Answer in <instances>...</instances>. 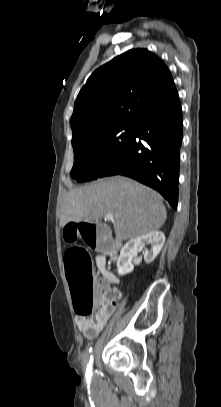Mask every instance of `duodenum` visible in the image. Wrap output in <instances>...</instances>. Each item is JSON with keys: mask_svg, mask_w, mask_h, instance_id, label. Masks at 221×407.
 Listing matches in <instances>:
<instances>
[{"mask_svg": "<svg viewBox=\"0 0 221 407\" xmlns=\"http://www.w3.org/2000/svg\"><path fill=\"white\" fill-rule=\"evenodd\" d=\"M118 245H120V242H118ZM112 259H113V260L116 259V255H115V254L112 255Z\"/></svg>", "mask_w": 221, "mask_h": 407, "instance_id": "1", "label": "duodenum"}]
</instances>
